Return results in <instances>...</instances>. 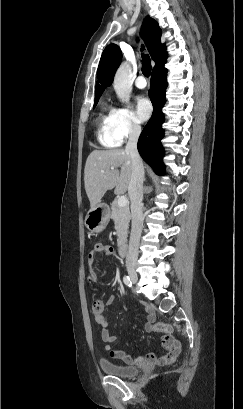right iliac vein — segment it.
Segmentation results:
<instances>
[{
    "label": "right iliac vein",
    "mask_w": 243,
    "mask_h": 409,
    "mask_svg": "<svg viewBox=\"0 0 243 409\" xmlns=\"http://www.w3.org/2000/svg\"><path fill=\"white\" fill-rule=\"evenodd\" d=\"M127 272H128V275H129L131 281H132L133 283H136L138 277H137V273H136L135 269H134L133 267H128V268H127Z\"/></svg>",
    "instance_id": "63e3f726"
}]
</instances>
